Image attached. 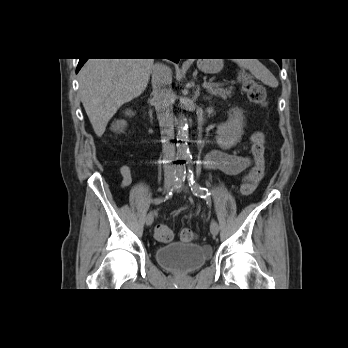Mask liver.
Masks as SVG:
<instances>
[{"label": "liver", "instance_id": "liver-1", "mask_svg": "<svg viewBox=\"0 0 348 348\" xmlns=\"http://www.w3.org/2000/svg\"><path fill=\"white\" fill-rule=\"evenodd\" d=\"M154 59H89L79 72L81 102L95 134L125 103L146 89Z\"/></svg>", "mask_w": 348, "mask_h": 348}]
</instances>
